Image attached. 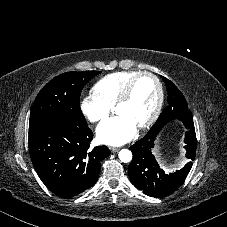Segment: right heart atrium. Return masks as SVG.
<instances>
[{
    "label": "right heart atrium",
    "mask_w": 227,
    "mask_h": 227,
    "mask_svg": "<svg viewBox=\"0 0 227 227\" xmlns=\"http://www.w3.org/2000/svg\"><path fill=\"white\" fill-rule=\"evenodd\" d=\"M80 111L87 120L97 123L109 114L110 107L98 96L91 93L81 99Z\"/></svg>",
    "instance_id": "d8ad5b80"
}]
</instances>
